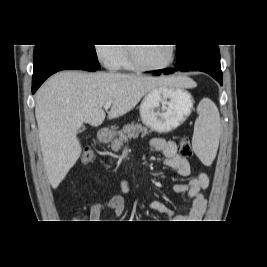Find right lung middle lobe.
Instances as JSON below:
<instances>
[{"label": "right lung middle lobe", "instance_id": "1", "mask_svg": "<svg viewBox=\"0 0 267 267\" xmlns=\"http://www.w3.org/2000/svg\"><path fill=\"white\" fill-rule=\"evenodd\" d=\"M61 48L68 50L77 56L86 59L89 63L93 64L96 67H100L99 62L96 57V51L94 45L86 44H64L58 45Z\"/></svg>", "mask_w": 267, "mask_h": 267}]
</instances>
